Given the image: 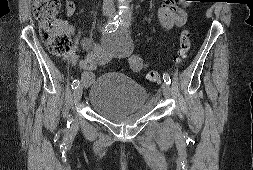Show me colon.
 <instances>
[{
	"label": "colon",
	"mask_w": 253,
	"mask_h": 170,
	"mask_svg": "<svg viewBox=\"0 0 253 170\" xmlns=\"http://www.w3.org/2000/svg\"><path fill=\"white\" fill-rule=\"evenodd\" d=\"M60 7V0H33V15L38 22L42 41L49 47L50 51L55 56L64 57L70 52L71 39L60 27L56 19ZM190 48L191 33L189 30H183L180 35L178 62H182L187 57ZM147 79L151 82L159 83L161 82V74L158 71L151 70L147 73Z\"/></svg>",
	"instance_id": "obj_1"
}]
</instances>
